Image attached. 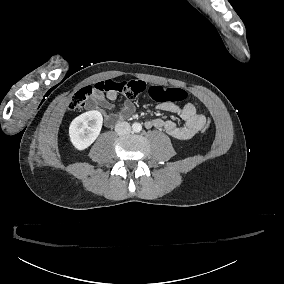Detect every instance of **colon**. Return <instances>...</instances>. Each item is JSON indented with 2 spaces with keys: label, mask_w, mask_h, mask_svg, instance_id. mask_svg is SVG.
<instances>
[{
  "label": "colon",
  "mask_w": 284,
  "mask_h": 284,
  "mask_svg": "<svg viewBox=\"0 0 284 284\" xmlns=\"http://www.w3.org/2000/svg\"><path fill=\"white\" fill-rule=\"evenodd\" d=\"M147 86V83L143 80H130V81H115V80H102L96 82L94 85H89L86 89L79 90L74 93L70 99V107L73 110L80 109L84 104L87 95L84 91L87 90L92 93L93 89L100 92H121L128 96H136L142 93ZM149 95L160 102L165 101H183L187 97V90L183 86H176L174 89L165 88L160 84H153L149 88ZM204 130H202V135H207L209 129L211 128L212 119H207Z\"/></svg>",
  "instance_id": "5ec220e1"
}]
</instances>
